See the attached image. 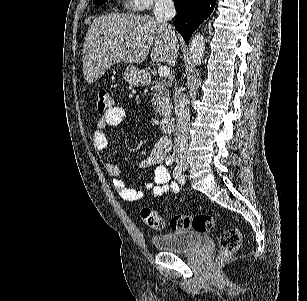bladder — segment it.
<instances>
[{"mask_svg":"<svg viewBox=\"0 0 307 301\" xmlns=\"http://www.w3.org/2000/svg\"><path fill=\"white\" fill-rule=\"evenodd\" d=\"M203 241L198 232L180 230L166 233L165 235H153V244L158 251L189 252L199 246Z\"/></svg>","mask_w":307,"mask_h":301,"instance_id":"bladder-1","label":"bladder"}]
</instances>
